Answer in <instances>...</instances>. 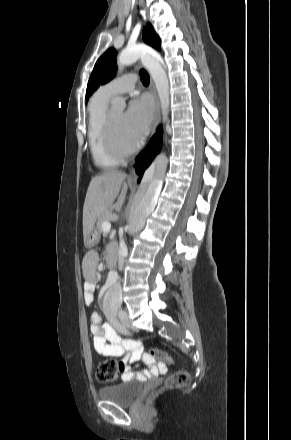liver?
I'll use <instances>...</instances> for the list:
<instances>
[{"mask_svg":"<svg viewBox=\"0 0 291 440\" xmlns=\"http://www.w3.org/2000/svg\"><path fill=\"white\" fill-rule=\"evenodd\" d=\"M125 179L126 174L113 170L106 171L91 179L83 207L84 239L93 231L95 222L101 214L112 207L118 212L120 211L128 190ZM116 198L117 202L113 205Z\"/></svg>","mask_w":291,"mask_h":440,"instance_id":"liver-1","label":"liver"}]
</instances>
